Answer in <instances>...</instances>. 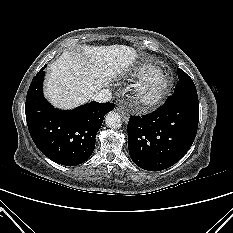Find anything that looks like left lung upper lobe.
Wrapping results in <instances>:
<instances>
[{
  "label": "left lung upper lobe",
  "mask_w": 233,
  "mask_h": 233,
  "mask_svg": "<svg viewBox=\"0 0 233 233\" xmlns=\"http://www.w3.org/2000/svg\"><path fill=\"white\" fill-rule=\"evenodd\" d=\"M179 81L174 89L172 98L177 101L198 98L192 79L180 68L177 69Z\"/></svg>",
  "instance_id": "1"
}]
</instances>
